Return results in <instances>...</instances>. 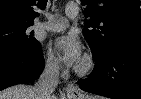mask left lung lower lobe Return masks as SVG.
Listing matches in <instances>:
<instances>
[{
  "label": "left lung lower lobe",
  "mask_w": 141,
  "mask_h": 99,
  "mask_svg": "<svg viewBox=\"0 0 141 99\" xmlns=\"http://www.w3.org/2000/svg\"><path fill=\"white\" fill-rule=\"evenodd\" d=\"M93 57L94 70L78 81L82 90L113 99H141V47L116 46Z\"/></svg>",
  "instance_id": "obj_1"
}]
</instances>
